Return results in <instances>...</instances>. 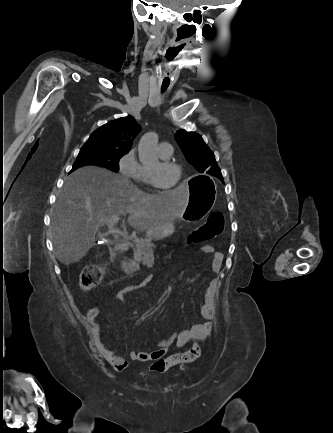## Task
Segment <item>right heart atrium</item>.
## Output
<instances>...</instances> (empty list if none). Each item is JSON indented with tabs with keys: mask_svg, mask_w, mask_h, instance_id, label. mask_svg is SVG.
<instances>
[{
	"mask_svg": "<svg viewBox=\"0 0 333 433\" xmlns=\"http://www.w3.org/2000/svg\"><path fill=\"white\" fill-rule=\"evenodd\" d=\"M119 172L127 178L139 180L142 175V165L139 163L135 149L125 152L118 161Z\"/></svg>",
	"mask_w": 333,
	"mask_h": 433,
	"instance_id": "1",
	"label": "right heart atrium"
}]
</instances>
